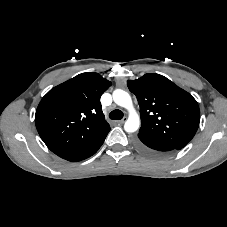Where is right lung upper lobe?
I'll return each mask as SVG.
<instances>
[{"instance_id":"1","label":"right lung upper lobe","mask_w":227,"mask_h":227,"mask_svg":"<svg viewBox=\"0 0 227 227\" xmlns=\"http://www.w3.org/2000/svg\"><path fill=\"white\" fill-rule=\"evenodd\" d=\"M111 82L98 73H82L52 88L35 114L38 133L56 155L68 159L87 153L110 131L100 103Z\"/></svg>"}]
</instances>
